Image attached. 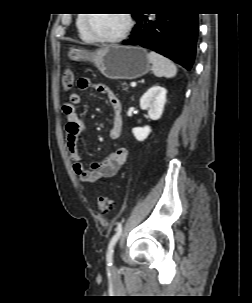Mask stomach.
Masks as SVG:
<instances>
[{
	"mask_svg": "<svg viewBox=\"0 0 252 303\" xmlns=\"http://www.w3.org/2000/svg\"><path fill=\"white\" fill-rule=\"evenodd\" d=\"M72 61H91L109 79H136L150 70V61L145 49L139 46L110 45L94 52L70 48Z\"/></svg>",
	"mask_w": 252,
	"mask_h": 303,
	"instance_id": "stomach-1",
	"label": "stomach"
}]
</instances>
